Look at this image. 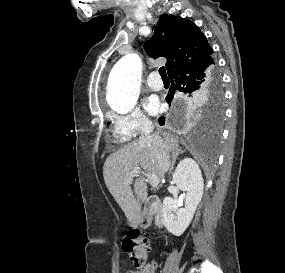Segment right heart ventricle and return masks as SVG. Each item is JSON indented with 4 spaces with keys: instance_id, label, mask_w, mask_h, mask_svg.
<instances>
[{
    "instance_id": "1",
    "label": "right heart ventricle",
    "mask_w": 285,
    "mask_h": 273,
    "mask_svg": "<svg viewBox=\"0 0 285 273\" xmlns=\"http://www.w3.org/2000/svg\"><path fill=\"white\" fill-rule=\"evenodd\" d=\"M113 134H114L115 139L120 143H124L128 140V138L120 134L116 129H114Z\"/></svg>"
}]
</instances>
